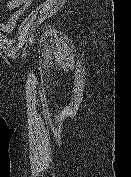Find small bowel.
Wrapping results in <instances>:
<instances>
[{
  "instance_id": "c3829d8e",
  "label": "small bowel",
  "mask_w": 131,
  "mask_h": 177,
  "mask_svg": "<svg viewBox=\"0 0 131 177\" xmlns=\"http://www.w3.org/2000/svg\"><path fill=\"white\" fill-rule=\"evenodd\" d=\"M33 0H9L3 3V6L13 9L14 13L11 18L4 24L0 25V29L4 32L11 31L16 25L18 19L25 13Z\"/></svg>"
}]
</instances>
